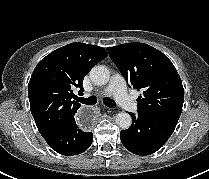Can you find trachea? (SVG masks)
<instances>
[{
    "mask_svg": "<svg viewBox=\"0 0 209 179\" xmlns=\"http://www.w3.org/2000/svg\"><path fill=\"white\" fill-rule=\"evenodd\" d=\"M77 100L79 102H81L83 104H87V105H94L97 102L96 97H94V96H90L88 98L79 97ZM103 103L110 108H115L116 107V103L111 99L105 98L103 100Z\"/></svg>",
    "mask_w": 209,
    "mask_h": 179,
    "instance_id": "3493384b",
    "label": "trachea"
}]
</instances>
